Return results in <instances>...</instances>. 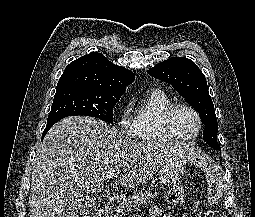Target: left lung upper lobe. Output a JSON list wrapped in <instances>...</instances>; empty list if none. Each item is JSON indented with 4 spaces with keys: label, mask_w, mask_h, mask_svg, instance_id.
<instances>
[{
    "label": "left lung upper lobe",
    "mask_w": 255,
    "mask_h": 217,
    "mask_svg": "<svg viewBox=\"0 0 255 217\" xmlns=\"http://www.w3.org/2000/svg\"><path fill=\"white\" fill-rule=\"evenodd\" d=\"M148 73L169 83L198 113L205 125L203 140L212 148L221 151L217 142V118L209 95L204 74L190 59L173 57L151 69Z\"/></svg>",
    "instance_id": "left-lung-upper-lobe-1"
}]
</instances>
